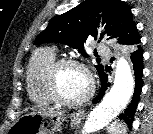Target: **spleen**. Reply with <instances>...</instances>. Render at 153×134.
I'll list each match as a JSON object with an SVG mask.
<instances>
[{
  "label": "spleen",
  "mask_w": 153,
  "mask_h": 134,
  "mask_svg": "<svg viewBox=\"0 0 153 134\" xmlns=\"http://www.w3.org/2000/svg\"><path fill=\"white\" fill-rule=\"evenodd\" d=\"M109 134H126V126L122 122H114L108 127Z\"/></svg>",
  "instance_id": "spleen-1"
}]
</instances>
